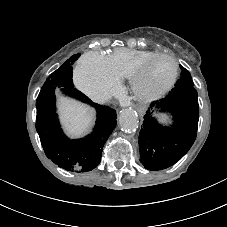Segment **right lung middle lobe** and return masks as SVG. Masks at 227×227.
I'll use <instances>...</instances> for the list:
<instances>
[{
	"label": "right lung middle lobe",
	"mask_w": 227,
	"mask_h": 227,
	"mask_svg": "<svg viewBox=\"0 0 227 227\" xmlns=\"http://www.w3.org/2000/svg\"><path fill=\"white\" fill-rule=\"evenodd\" d=\"M79 54L71 56L59 69L54 71L45 81L42 88L47 86L53 87H74L72 74L73 63L79 58Z\"/></svg>",
	"instance_id": "right-lung-middle-lobe-1"
}]
</instances>
